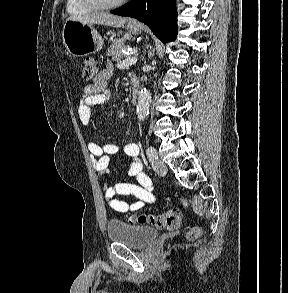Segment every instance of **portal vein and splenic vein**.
I'll return each instance as SVG.
<instances>
[{
	"instance_id": "18ae733b",
	"label": "portal vein and splenic vein",
	"mask_w": 288,
	"mask_h": 293,
	"mask_svg": "<svg viewBox=\"0 0 288 293\" xmlns=\"http://www.w3.org/2000/svg\"><path fill=\"white\" fill-rule=\"evenodd\" d=\"M136 62H137V57L133 55L123 61L117 62V68L128 67V66L134 65Z\"/></svg>"
}]
</instances>
